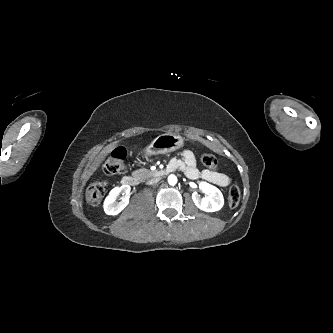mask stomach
Returning <instances> with one entry per match:
<instances>
[{"instance_id": "0dacf381", "label": "stomach", "mask_w": 333, "mask_h": 333, "mask_svg": "<svg viewBox=\"0 0 333 333\" xmlns=\"http://www.w3.org/2000/svg\"><path fill=\"white\" fill-rule=\"evenodd\" d=\"M184 140L180 135L174 133H165L159 135L147 147L146 156L166 154L180 149L183 146Z\"/></svg>"}]
</instances>
